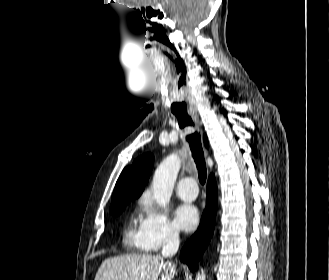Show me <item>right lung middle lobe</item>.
Segmentation results:
<instances>
[{"label":"right lung middle lobe","instance_id":"right-lung-middle-lobe-1","mask_svg":"<svg viewBox=\"0 0 329 280\" xmlns=\"http://www.w3.org/2000/svg\"><path fill=\"white\" fill-rule=\"evenodd\" d=\"M131 200L132 199L120 201L118 204H116L115 206L110 208V213L113 215H118L119 213H121L124 210L126 204L128 202H130Z\"/></svg>","mask_w":329,"mask_h":280}]
</instances>
